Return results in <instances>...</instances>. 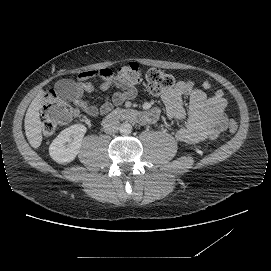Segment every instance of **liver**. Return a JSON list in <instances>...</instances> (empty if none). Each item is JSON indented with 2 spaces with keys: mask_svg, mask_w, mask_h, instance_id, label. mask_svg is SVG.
I'll return each instance as SVG.
<instances>
[{
  "mask_svg": "<svg viewBox=\"0 0 271 271\" xmlns=\"http://www.w3.org/2000/svg\"><path fill=\"white\" fill-rule=\"evenodd\" d=\"M42 93L36 95L25 116V133L32 147L38 148L42 142L43 124L39 120V109L42 104Z\"/></svg>",
  "mask_w": 271,
  "mask_h": 271,
  "instance_id": "obj_1",
  "label": "liver"
}]
</instances>
